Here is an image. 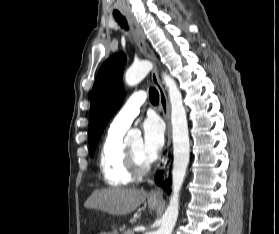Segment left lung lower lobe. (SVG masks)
<instances>
[{
  "instance_id": "0a47b994",
  "label": "left lung lower lobe",
  "mask_w": 279,
  "mask_h": 234,
  "mask_svg": "<svg viewBox=\"0 0 279 234\" xmlns=\"http://www.w3.org/2000/svg\"><path fill=\"white\" fill-rule=\"evenodd\" d=\"M162 174H163V172H159L155 177V180L158 184L161 183ZM164 188H165V190H167V192H170V182L169 181L164 182Z\"/></svg>"
}]
</instances>
